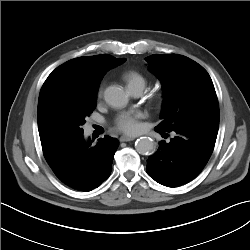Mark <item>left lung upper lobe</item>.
<instances>
[{"instance_id": "1", "label": "left lung upper lobe", "mask_w": 250, "mask_h": 250, "mask_svg": "<svg viewBox=\"0 0 250 250\" xmlns=\"http://www.w3.org/2000/svg\"><path fill=\"white\" fill-rule=\"evenodd\" d=\"M149 70L164 90L162 122L156 129L171 132L181 128L219 123V105L207 71L182 55L154 54L146 58Z\"/></svg>"}]
</instances>
